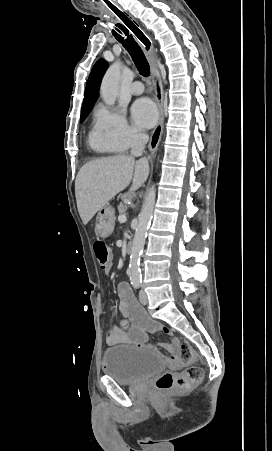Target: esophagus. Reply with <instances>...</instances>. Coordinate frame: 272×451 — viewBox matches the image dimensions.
<instances>
[{
	"label": "esophagus",
	"instance_id": "34e87169",
	"mask_svg": "<svg viewBox=\"0 0 272 451\" xmlns=\"http://www.w3.org/2000/svg\"><path fill=\"white\" fill-rule=\"evenodd\" d=\"M137 28H132L133 35L143 46L145 55L149 61L154 81L155 102L159 110V119L157 125L152 131L148 148L151 153H155L163 133L164 125V109H163V87L161 83L159 69L153 59V43L149 35H147L140 25H136Z\"/></svg>",
	"mask_w": 272,
	"mask_h": 451
}]
</instances>
